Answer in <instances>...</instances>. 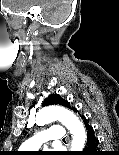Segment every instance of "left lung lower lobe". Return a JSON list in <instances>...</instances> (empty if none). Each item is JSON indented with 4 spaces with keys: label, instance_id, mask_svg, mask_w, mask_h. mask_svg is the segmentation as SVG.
<instances>
[{
    "label": "left lung lower lobe",
    "instance_id": "obj_1",
    "mask_svg": "<svg viewBox=\"0 0 119 155\" xmlns=\"http://www.w3.org/2000/svg\"><path fill=\"white\" fill-rule=\"evenodd\" d=\"M75 112H77L76 108H73ZM83 123L85 125V133H86V146L83 152H80L79 155H100L98 151L99 141L95 136V132L93 127L88 123L85 116H81Z\"/></svg>",
    "mask_w": 119,
    "mask_h": 155
}]
</instances>
